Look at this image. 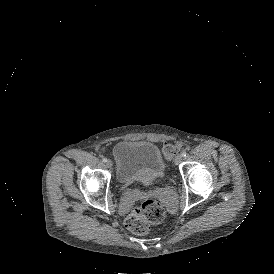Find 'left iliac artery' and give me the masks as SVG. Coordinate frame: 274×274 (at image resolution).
<instances>
[{"mask_svg": "<svg viewBox=\"0 0 274 274\" xmlns=\"http://www.w3.org/2000/svg\"><path fill=\"white\" fill-rule=\"evenodd\" d=\"M181 155H182L183 157H185V156L187 155L186 151H183V152L181 153Z\"/></svg>", "mask_w": 274, "mask_h": 274, "instance_id": "left-iliac-artery-1", "label": "left iliac artery"}]
</instances>
